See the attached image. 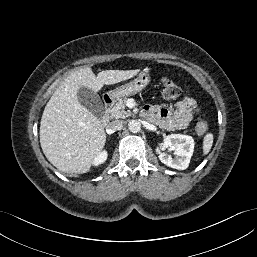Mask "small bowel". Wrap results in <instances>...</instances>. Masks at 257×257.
<instances>
[{
  "label": "small bowel",
  "instance_id": "c3829d8e",
  "mask_svg": "<svg viewBox=\"0 0 257 257\" xmlns=\"http://www.w3.org/2000/svg\"><path fill=\"white\" fill-rule=\"evenodd\" d=\"M197 112L196 102L191 97H185L176 103L173 109L157 105L144 108V114L149 119L169 131L186 128Z\"/></svg>",
  "mask_w": 257,
  "mask_h": 257
}]
</instances>
